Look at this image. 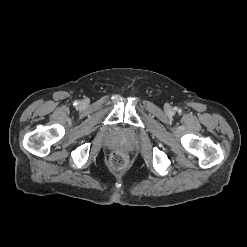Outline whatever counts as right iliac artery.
I'll list each match as a JSON object with an SVG mask.
<instances>
[{
  "label": "right iliac artery",
  "mask_w": 247,
  "mask_h": 247,
  "mask_svg": "<svg viewBox=\"0 0 247 247\" xmlns=\"http://www.w3.org/2000/svg\"><path fill=\"white\" fill-rule=\"evenodd\" d=\"M74 105H75V106H78V105H79V102H78V101H75V102H74Z\"/></svg>",
  "instance_id": "1"
}]
</instances>
